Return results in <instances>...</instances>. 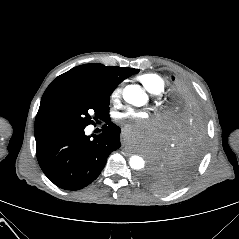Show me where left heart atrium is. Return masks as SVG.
<instances>
[{
	"label": "left heart atrium",
	"instance_id": "left-heart-atrium-1",
	"mask_svg": "<svg viewBox=\"0 0 239 239\" xmlns=\"http://www.w3.org/2000/svg\"><path fill=\"white\" fill-rule=\"evenodd\" d=\"M118 119H135V123H127L125 129L130 133L138 132V130H145L148 132L156 124V118L149 117L146 112L137 110H128L117 115Z\"/></svg>",
	"mask_w": 239,
	"mask_h": 239
}]
</instances>
